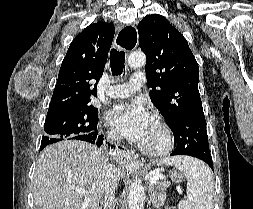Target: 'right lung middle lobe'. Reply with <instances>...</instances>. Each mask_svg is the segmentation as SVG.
<instances>
[{"instance_id":"dd1d6c3e","label":"right lung middle lobe","mask_w":253,"mask_h":209,"mask_svg":"<svg viewBox=\"0 0 253 209\" xmlns=\"http://www.w3.org/2000/svg\"><path fill=\"white\" fill-rule=\"evenodd\" d=\"M97 123L98 109L93 106L62 109L47 115L40 150L66 138L92 133Z\"/></svg>"}]
</instances>
